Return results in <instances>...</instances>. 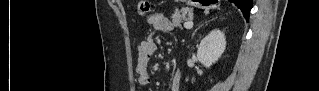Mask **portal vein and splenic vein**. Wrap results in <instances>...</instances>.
Segmentation results:
<instances>
[{"label": "portal vein and splenic vein", "mask_w": 319, "mask_h": 91, "mask_svg": "<svg viewBox=\"0 0 319 91\" xmlns=\"http://www.w3.org/2000/svg\"><path fill=\"white\" fill-rule=\"evenodd\" d=\"M184 27L186 29H191L193 27V22L192 21H187L184 23Z\"/></svg>", "instance_id": "portal-vein-and-splenic-vein-1"}]
</instances>
